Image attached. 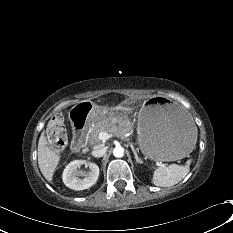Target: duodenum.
<instances>
[{"label": "duodenum", "mask_w": 233, "mask_h": 233, "mask_svg": "<svg viewBox=\"0 0 233 233\" xmlns=\"http://www.w3.org/2000/svg\"><path fill=\"white\" fill-rule=\"evenodd\" d=\"M92 112L89 102L79 103L73 110L70 122L74 126L72 147L75 151H81L86 144V122Z\"/></svg>", "instance_id": "obj_1"}]
</instances>
